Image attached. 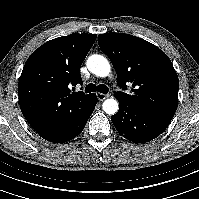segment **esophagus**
<instances>
[{"label":"esophagus","mask_w":199,"mask_h":199,"mask_svg":"<svg viewBox=\"0 0 199 199\" xmlns=\"http://www.w3.org/2000/svg\"><path fill=\"white\" fill-rule=\"evenodd\" d=\"M96 95H97L98 100H100V101H103L109 97L108 94H103V93H96Z\"/></svg>","instance_id":"obj_1"}]
</instances>
